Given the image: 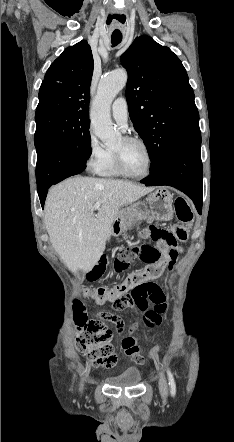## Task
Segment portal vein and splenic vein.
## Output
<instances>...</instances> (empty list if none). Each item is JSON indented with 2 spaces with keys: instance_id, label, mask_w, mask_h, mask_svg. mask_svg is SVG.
<instances>
[{
  "instance_id": "portal-vein-and-splenic-vein-1",
  "label": "portal vein and splenic vein",
  "mask_w": 234,
  "mask_h": 442,
  "mask_svg": "<svg viewBox=\"0 0 234 442\" xmlns=\"http://www.w3.org/2000/svg\"><path fill=\"white\" fill-rule=\"evenodd\" d=\"M100 206H101V202H96V203L94 204V209L97 210V209L100 208Z\"/></svg>"
}]
</instances>
